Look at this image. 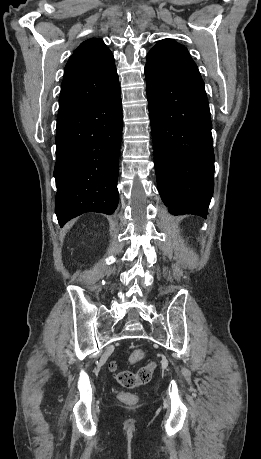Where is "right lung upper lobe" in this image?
<instances>
[{
	"label": "right lung upper lobe",
	"instance_id": "1",
	"mask_svg": "<svg viewBox=\"0 0 261 459\" xmlns=\"http://www.w3.org/2000/svg\"><path fill=\"white\" fill-rule=\"evenodd\" d=\"M117 85L113 54L103 40L91 38L84 41L65 66L57 120L92 105Z\"/></svg>",
	"mask_w": 261,
	"mask_h": 459
}]
</instances>
